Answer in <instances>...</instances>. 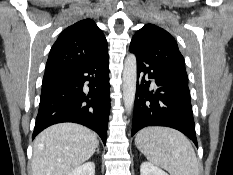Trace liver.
Masks as SVG:
<instances>
[{"label": "liver", "mask_w": 233, "mask_h": 175, "mask_svg": "<svg viewBox=\"0 0 233 175\" xmlns=\"http://www.w3.org/2000/svg\"><path fill=\"white\" fill-rule=\"evenodd\" d=\"M97 135L76 123H59L34 140L33 175H69L87 161L98 147Z\"/></svg>", "instance_id": "1"}]
</instances>
